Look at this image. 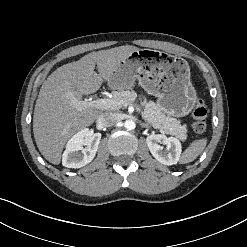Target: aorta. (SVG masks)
Here are the masks:
<instances>
[{
	"instance_id": "obj_1",
	"label": "aorta",
	"mask_w": 247,
	"mask_h": 247,
	"mask_svg": "<svg viewBox=\"0 0 247 247\" xmlns=\"http://www.w3.org/2000/svg\"><path fill=\"white\" fill-rule=\"evenodd\" d=\"M135 122L134 121H132V120H126L125 122H124V127L127 129V130H132V129H134L135 128Z\"/></svg>"
}]
</instances>
